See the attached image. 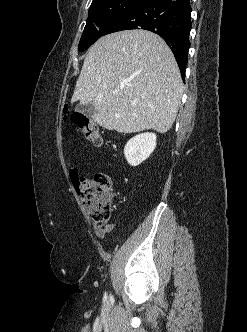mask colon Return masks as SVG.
Wrapping results in <instances>:
<instances>
[{
	"instance_id": "colon-1",
	"label": "colon",
	"mask_w": 247,
	"mask_h": 332,
	"mask_svg": "<svg viewBox=\"0 0 247 332\" xmlns=\"http://www.w3.org/2000/svg\"><path fill=\"white\" fill-rule=\"evenodd\" d=\"M71 121L76 130L95 146H102L103 138L97 124L89 117L75 113ZM73 183L76 191L85 205L92 220L102 225L111 215L112 187L109 176L97 173L90 177H80L73 173Z\"/></svg>"
}]
</instances>
